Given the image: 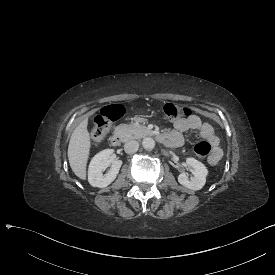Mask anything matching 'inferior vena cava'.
Instances as JSON below:
<instances>
[{
  "label": "inferior vena cava",
  "mask_w": 275,
  "mask_h": 275,
  "mask_svg": "<svg viewBox=\"0 0 275 275\" xmlns=\"http://www.w3.org/2000/svg\"><path fill=\"white\" fill-rule=\"evenodd\" d=\"M139 148V143L136 140H130L124 144V150L128 154L135 153Z\"/></svg>",
  "instance_id": "obj_1"
}]
</instances>
